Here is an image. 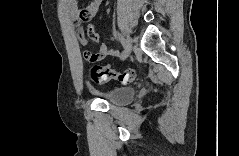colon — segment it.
Returning a JSON list of instances; mask_svg holds the SVG:
<instances>
[{
  "instance_id": "1",
  "label": "colon",
  "mask_w": 239,
  "mask_h": 156,
  "mask_svg": "<svg viewBox=\"0 0 239 156\" xmlns=\"http://www.w3.org/2000/svg\"><path fill=\"white\" fill-rule=\"evenodd\" d=\"M79 19L82 22L90 20V15L87 11L83 10L79 14ZM91 77L95 82L103 83L109 80H116L120 83L126 84L131 82L135 77V71L127 69L124 71L115 70L105 66H94L90 71Z\"/></svg>"
}]
</instances>
